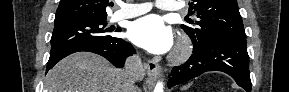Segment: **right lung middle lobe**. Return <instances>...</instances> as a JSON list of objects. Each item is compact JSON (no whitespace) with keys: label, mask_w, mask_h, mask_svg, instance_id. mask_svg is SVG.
Returning a JSON list of instances; mask_svg holds the SVG:
<instances>
[{"label":"right lung middle lobe","mask_w":289,"mask_h":92,"mask_svg":"<svg viewBox=\"0 0 289 92\" xmlns=\"http://www.w3.org/2000/svg\"><path fill=\"white\" fill-rule=\"evenodd\" d=\"M106 19L76 18L55 22L51 37V52L88 42H111L117 38L108 35ZM120 31V30H116Z\"/></svg>","instance_id":"obj_1"}]
</instances>
